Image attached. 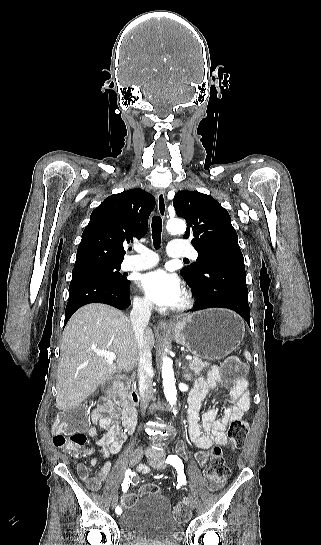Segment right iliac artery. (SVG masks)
I'll list each match as a JSON object with an SVG mask.
<instances>
[{
	"mask_svg": "<svg viewBox=\"0 0 321 545\" xmlns=\"http://www.w3.org/2000/svg\"><path fill=\"white\" fill-rule=\"evenodd\" d=\"M131 474H132V471H131L130 469H127L126 472H125L124 481H123V483H122V491H123V492H126L127 489H128V487H129V485H130V482H131V481H130V475H131ZM121 511H122V510H121L120 507H117V508L115 509V512H116L117 514H120Z\"/></svg>",
	"mask_w": 321,
	"mask_h": 545,
	"instance_id": "obj_1",
	"label": "right iliac artery"
}]
</instances>
